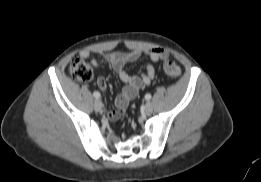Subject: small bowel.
I'll list each match as a JSON object with an SVG mask.
<instances>
[{"label": "small bowel", "instance_id": "c3829d8e", "mask_svg": "<svg viewBox=\"0 0 261 182\" xmlns=\"http://www.w3.org/2000/svg\"><path fill=\"white\" fill-rule=\"evenodd\" d=\"M100 54L103 60L112 66L120 80L124 83L121 93L115 98V109L106 112L107 118L114 121L123 116L128 103L137 96L140 88L143 85H149L155 77V69L151 63L145 64L138 75H130L126 70V65L136 62L142 55H145L150 61L158 63L166 60L168 53L165 49L156 47L146 51H115L109 53L101 52ZM80 55L88 59L94 67L102 65L90 52L83 51ZM97 83L101 90L104 91L106 89V81L103 77H99Z\"/></svg>", "mask_w": 261, "mask_h": 182}]
</instances>
